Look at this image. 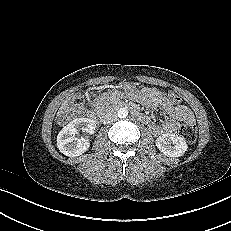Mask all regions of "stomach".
<instances>
[{
  "label": "stomach",
  "instance_id": "1",
  "mask_svg": "<svg viewBox=\"0 0 231 231\" xmlns=\"http://www.w3.org/2000/svg\"><path fill=\"white\" fill-rule=\"evenodd\" d=\"M125 88H126V89H129V90H132V89H134L135 87H134L133 85L128 84L127 86H125Z\"/></svg>",
  "mask_w": 231,
  "mask_h": 231
}]
</instances>
